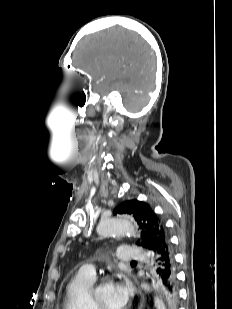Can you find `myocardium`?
Wrapping results in <instances>:
<instances>
[{
	"mask_svg": "<svg viewBox=\"0 0 232 309\" xmlns=\"http://www.w3.org/2000/svg\"><path fill=\"white\" fill-rule=\"evenodd\" d=\"M113 282V277L109 275H104L99 278V280L95 283V285L92 286L90 290V299L93 306V309H104V307L101 306L98 298H97V290L100 286L108 283Z\"/></svg>",
	"mask_w": 232,
	"mask_h": 309,
	"instance_id": "1",
	"label": "myocardium"
}]
</instances>
